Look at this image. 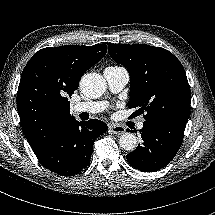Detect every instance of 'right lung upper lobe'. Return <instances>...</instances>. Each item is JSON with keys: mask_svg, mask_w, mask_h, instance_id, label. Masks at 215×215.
Returning a JSON list of instances; mask_svg holds the SVG:
<instances>
[{"mask_svg": "<svg viewBox=\"0 0 215 215\" xmlns=\"http://www.w3.org/2000/svg\"><path fill=\"white\" fill-rule=\"evenodd\" d=\"M106 52V44L47 47L28 61L18 87L17 109L23 133L36 155L74 118L68 97Z\"/></svg>", "mask_w": 215, "mask_h": 215, "instance_id": "right-lung-upper-lobe-1", "label": "right lung upper lobe"}]
</instances>
